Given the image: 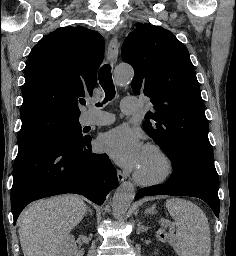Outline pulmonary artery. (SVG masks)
Returning a JSON list of instances; mask_svg holds the SVG:
<instances>
[{"label":"pulmonary artery","instance_id":"pulmonary-artery-1","mask_svg":"<svg viewBox=\"0 0 236 256\" xmlns=\"http://www.w3.org/2000/svg\"><path fill=\"white\" fill-rule=\"evenodd\" d=\"M137 97L136 96H125V101H123V107H121V111L123 115H134L135 109L137 108ZM114 122L113 116L102 118L98 120H87L86 125H96V126H104L109 125Z\"/></svg>","mask_w":236,"mask_h":256}]
</instances>
